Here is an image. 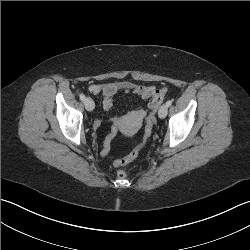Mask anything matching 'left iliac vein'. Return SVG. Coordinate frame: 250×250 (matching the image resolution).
Segmentation results:
<instances>
[{
  "label": "left iliac vein",
  "mask_w": 250,
  "mask_h": 250,
  "mask_svg": "<svg viewBox=\"0 0 250 250\" xmlns=\"http://www.w3.org/2000/svg\"><path fill=\"white\" fill-rule=\"evenodd\" d=\"M167 113H168V107L166 105H162L158 111L159 117L163 119L167 116Z\"/></svg>",
  "instance_id": "obj_1"
}]
</instances>
